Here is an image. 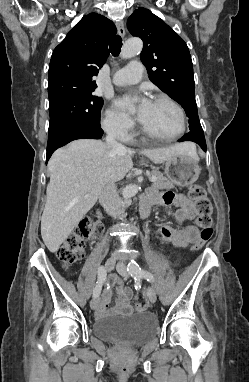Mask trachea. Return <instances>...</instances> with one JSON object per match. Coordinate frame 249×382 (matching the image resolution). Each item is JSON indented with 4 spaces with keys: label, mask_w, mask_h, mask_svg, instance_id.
<instances>
[{
    "label": "trachea",
    "mask_w": 249,
    "mask_h": 382,
    "mask_svg": "<svg viewBox=\"0 0 249 382\" xmlns=\"http://www.w3.org/2000/svg\"><path fill=\"white\" fill-rule=\"evenodd\" d=\"M122 47V38L116 35L110 42L109 48L113 56H118Z\"/></svg>",
    "instance_id": "obj_1"
}]
</instances>
